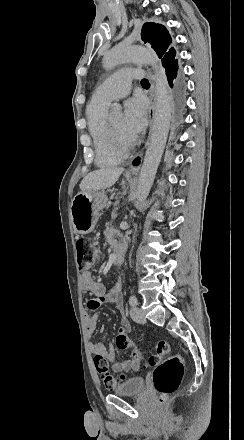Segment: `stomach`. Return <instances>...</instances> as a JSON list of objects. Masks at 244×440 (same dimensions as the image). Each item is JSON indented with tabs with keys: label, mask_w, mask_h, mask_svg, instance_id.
<instances>
[{
	"label": "stomach",
	"mask_w": 244,
	"mask_h": 440,
	"mask_svg": "<svg viewBox=\"0 0 244 440\" xmlns=\"http://www.w3.org/2000/svg\"><path fill=\"white\" fill-rule=\"evenodd\" d=\"M105 192H78L70 206V218L75 234H89L94 230L100 210L105 208Z\"/></svg>",
	"instance_id": "1"
}]
</instances>
